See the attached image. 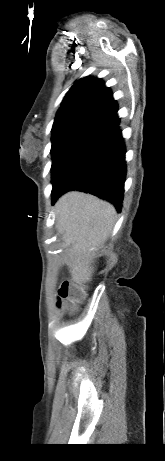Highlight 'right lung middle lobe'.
<instances>
[{"label":"right lung middle lobe","instance_id":"obj_1","mask_svg":"<svg viewBox=\"0 0 165 461\" xmlns=\"http://www.w3.org/2000/svg\"><path fill=\"white\" fill-rule=\"evenodd\" d=\"M108 122L92 115L62 118L52 127V183L84 144Z\"/></svg>","mask_w":165,"mask_h":461}]
</instances>
